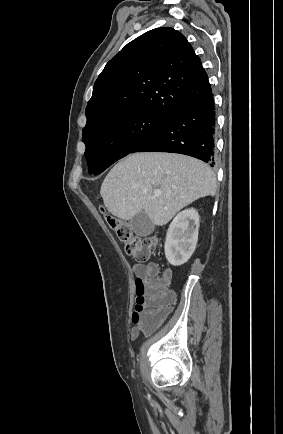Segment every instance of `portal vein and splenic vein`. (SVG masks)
<instances>
[{"label": "portal vein and splenic vein", "mask_w": 283, "mask_h": 434, "mask_svg": "<svg viewBox=\"0 0 283 434\" xmlns=\"http://www.w3.org/2000/svg\"><path fill=\"white\" fill-rule=\"evenodd\" d=\"M161 196V191L160 190H155L154 191V197H160Z\"/></svg>", "instance_id": "obj_1"}]
</instances>
